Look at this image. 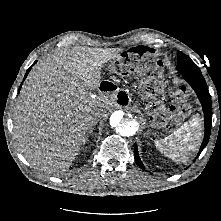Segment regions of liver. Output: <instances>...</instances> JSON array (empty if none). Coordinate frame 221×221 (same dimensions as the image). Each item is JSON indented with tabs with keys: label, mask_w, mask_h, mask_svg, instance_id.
<instances>
[{
	"label": "liver",
	"mask_w": 221,
	"mask_h": 221,
	"mask_svg": "<svg viewBox=\"0 0 221 221\" xmlns=\"http://www.w3.org/2000/svg\"><path fill=\"white\" fill-rule=\"evenodd\" d=\"M121 48L77 47L48 54L29 73L14 113V137L20 152L44 169L69 168L85 137L107 116L114 103L107 96L91 97L101 83L102 67Z\"/></svg>",
	"instance_id": "6515ba94"
}]
</instances>
